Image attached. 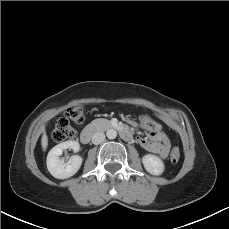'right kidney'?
Here are the masks:
<instances>
[{
    "label": "right kidney",
    "instance_id": "1",
    "mask_svg": "<svg viewBox=\"0 0 229 229\" xmlns=\"http://www.w3.org/2000/svg\"><path fill=\"white\" fill-rule=\"evenodd\" d=\"M65 149H73L78 152L80 145L77 141H65L53 147L47 155V168L50 174L58 179H66L77 173L81 164L82 158L74 155L68 162L61 160L59 156Z\"/></svg>",
    "mask_w": 229,
    "mask_h": 229
}]
</instances>
